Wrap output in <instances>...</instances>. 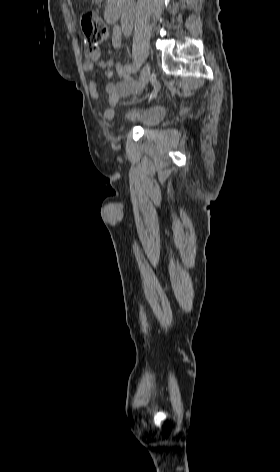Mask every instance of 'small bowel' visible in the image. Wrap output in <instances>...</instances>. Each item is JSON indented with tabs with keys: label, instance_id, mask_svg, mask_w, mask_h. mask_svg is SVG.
<instances>
[{
	"label": "small bowel",
	"instance_id": "obj_1",
	"mask_svg": "<svg viewBox=\"0 0 280 472\" xmlns=\"http://www.w3.org/2000/svg\"><path fill=\"white\" fill-rule=\"evenodd\" d=\"M95 66L105 70V75L107 79H111L113 77V70H116L118 74L123 78L120 82H107L105 84V92L108 96V102L111 107L115 106L119 100V98L132 91L134 89V82L131 76L127 75L124 72V67L115 62L112 59L102 60L99 58V55L92 58H88L83 63V70L85 72H90L94 69ZM89 93L93 100L99 99V91L98 86L95 81H91L89 83ZM103 117L105 120H110L113 117V110L111 108L105 109L103 111Z\"/></svg>",
	"mask_w": 280,
	"mask_h": 472
}]
</instances>
